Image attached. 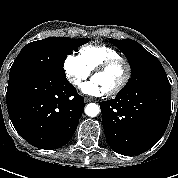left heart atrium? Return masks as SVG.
Masks as SVG:
<instances>
[{"instance_id":"39dd6f15","label":"left heart atrium","mask_w":178,"mask_h":178,"mask_svg":"<svg viewBox=\"0 0 178 178\" xmlns=\"http://www.w3.org/2000/svg\"><path fill=\"white\" fill-rule=\"evenodd\" d=\"M81 91L86 95L96 96V97L106 93V90L103 88V86L94 79H92L87 83H84L81 86Z\"/></svg>"}]
</instances>
